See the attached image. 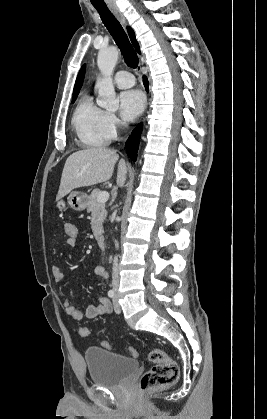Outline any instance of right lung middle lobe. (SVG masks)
<instances>
[{
    "instance_id": "dd1d6c3e",
    "label": "right lung middle lobe",
    "mask_w": 267,
    "mask_h": 419,
    "mask_svg": "<svg viewBox=\"0 0 267 419\" xmlns=\"http://www.w3.org/2000/svg\"><path fill=\"white\" fill-rule=\"evenodd\" d=\"M77 95H74L72 98V103L76 100Z\"/></svg>"
}]
</instances>
